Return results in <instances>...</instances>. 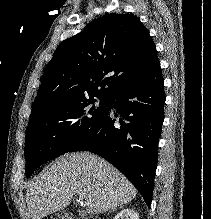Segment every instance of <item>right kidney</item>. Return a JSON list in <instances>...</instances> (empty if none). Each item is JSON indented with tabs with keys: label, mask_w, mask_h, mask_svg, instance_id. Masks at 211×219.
<instances>
[{
	"label": "right kidney",
	"mask_w": 211,
	"mask_h": 219,
	"mask_svg": "<svg viewBox=\"0 0 211 219\" xmlns=\"http://www.w3.org/2000/svg\"><path fill=\"white\" fill-rule=\"evenodd\" d=\"M113 219H139V216L133 209L126 208L121 210Z\"/></svg>",
	"instance_id": "obj_1"
}]
</instances>
